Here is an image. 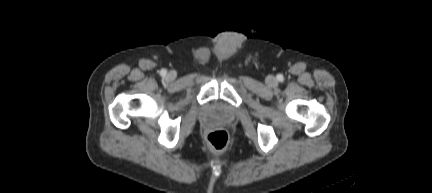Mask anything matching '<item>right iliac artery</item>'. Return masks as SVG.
<instances>
[{
  "label": "right iliac artery",
  "mask_w": 432,
  "mask_h": 193,
  "mask_svg": "<svg viewBox=\"0 0 432 193\" xmlns=\"http://www.w3.org/2000/svg\"><path fill=\"white\" fill-rule=\"evenodd\" d=\"M166 73H167V71H166L165 69H162V70L160 71V75H161V76H165Z\"/></svg>",
  "instance_id": "obj_1"
}]
</instances>
